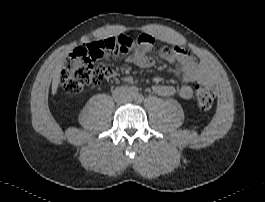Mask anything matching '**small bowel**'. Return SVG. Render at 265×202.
Listing matches in <instances>:
<instances>
[{
	"label": "small bowel",
	"instance_id": "1",
	"mask_svg": "<svg viewBox=\"0 0 265 202\" xmlns=\"http://www.w3.org/2000/svg\"><path fill=\"white\" fill-rule=\"evenodd\" d=\"M147 36L150 38L146 41L147 44L155 40L153 34H148ZM73 53L76 55H91L92 50L90 49V44H87L76 48ZM160 54L165 61L176 66L181 75L182 84L179 87L167 84H155L153 86L154 92L163 97H170L177 94L184 100H190L193 97V85L197 82H205L208 80L205 68L178 45L163 47ZM96 57L107 58L108 54L102 53L98 54ZM130 60L145 68L154 65L153 59L144 49L136 50L130 57ZM124 81L132 83L133 78L130 75H126ZM155 81L157 82L158 79H155Z\"/></svg>",
	"mask_w": 265,
	"mask_h": 202
}]
</instances>
